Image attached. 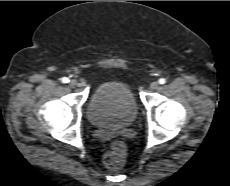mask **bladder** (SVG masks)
Listing matches in <instances>:
<instances>
[{"mask_svg":"<svg viewBox=\"0 0 230 186\" xmlns=\"http://www.w3.org/2000/svg\"><path fill=\"white\" fill-rule=\"evenodd\" d=\"M87 115L93 126L122 128L135 120L137 104L127 85L119 81H107L94 89Z\"/></svg>","mask_w":230,"mask_h":186,"instance_id":"1","label":"bladder"}]
</instances>
